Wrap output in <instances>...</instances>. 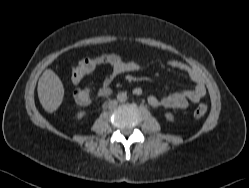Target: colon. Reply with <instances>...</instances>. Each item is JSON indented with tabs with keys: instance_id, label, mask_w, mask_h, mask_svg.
I'll list each match as a JSON object with an SVG mask.
<instances>
[{
	"instance_id": "colon-1",
	"label": "colon",
	"mask_w": 249,
	"mask_h": 188,
	"mask_svg": "<svg viewBox=\"0 0 249 188\" xmlns=\"http://www.w3.org/2000/svg\"><path fill=\"white\" fill-rule=\"evenodd\" d=\"M115 55H103L101 57L83 58L73 68L71 73L72 81L77 84L81 79L90 74L98 64L109 63L115 60ZM73 99L79 106L87 105L91 100V92L88 88H77L73 92ZM207 106L205 104H199L194 110V116L200 118L205 115Z\"/></svg>"
}]
</instances>
